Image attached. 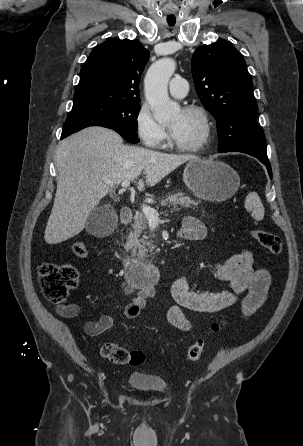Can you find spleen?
<instances>
[{"label":"spleen","mask_w":303,"mask_h":446,"mask_svg":"<svg viewBox=\"0 0 303 446\" xmlns=\"http://www.w3.org/2000/svg\"><path fill=\"white\" fill-rule=\"evenodd\" d=\"M245 208L247 211H251V216L257 221H261L264 218V207L260 200V197L256 192H251L245 199Z\"/></svg>","instance_id":"obj_1"}]
</instances>
